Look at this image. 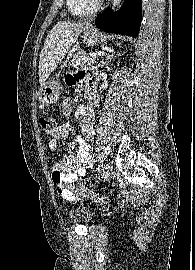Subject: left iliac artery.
Wrapping results in <instances>:
<instances>
[{
	"mask_svg": "<svg viewBox=\"0 0 195 270\" xmlns=\"http://www.w3.org/2000/svg\"><path fill=\"white\" fill-rule=\"evenodd\" d=\"M103 161L101 160L98 164L97 171L99 172L102 169Z\"/></svg>",
	"mask_w": 195,
	"mask_h": 270,
	"instance_id": "obj_1",
	"label": "left iliac artery"
}]
</instances>
